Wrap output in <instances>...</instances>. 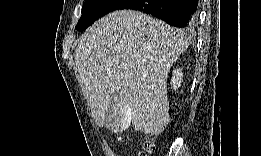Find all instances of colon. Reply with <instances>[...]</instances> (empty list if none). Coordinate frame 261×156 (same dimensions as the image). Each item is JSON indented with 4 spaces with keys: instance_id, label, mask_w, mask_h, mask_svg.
I'll use <instances>...</instances> for the list:
<instances>
[{
    "instance_id": "5ec220e1",
    "label": "colon",
    "mask_w": 261,
    "mask_h": 156,
    "mask_svg": "<svg viewBox=\"0 0 261 156\" xmlns=\"http://www.w3.org/2000/svg\"><path fill=\"white\" fill-rule=\"evenodd\" d=\"M155 150V144L152 140H148L144 143L142 155H150Z\"/></svg>"
}]
</instances>
